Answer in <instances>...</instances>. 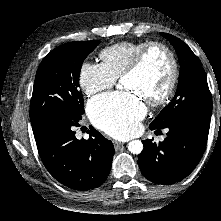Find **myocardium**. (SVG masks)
<instances>
[{"instance_id": "f54148a6", "label": "myocardium", "mask_w": 221, "mask_h": 221, "mask_svg": "<svg viewBox=\"0 0 221 221\" xmlns=\"http://www.w3.org/2000/svg\"><path fill=\"white\" fill-rule=\"evenodd\" d=\"M155 48L164 51L169 61L170 70L168 80L163 92L156 97L145 99L146 102L151 106H159L167 102V100L170 99V97L172 96L176 87L178 77V63L175 54L170 49V47L159 41H150L144 43L143 46L136 52L132 62L126 68L122 75L123 79L129 75L137 73L142 68L148 53Z\"/></svg>"}]
</instances>
